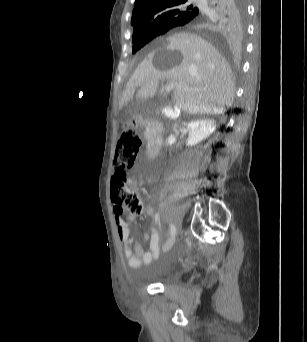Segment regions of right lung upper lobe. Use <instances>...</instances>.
Here are the masks:
<instances>
[{
	"mask_svg": "<svg viewBox=\"0 0 307 342\" xmlns=\"http://www.w3.org/2000/svg\"><path fill=\"white\" fill-rule=\"evenodd\" d=\"M236 0H136L132 12L133 35L150 31H168L189 25L200 33L224 40L230 29Z\"/></svg>",
	"mask_w": 307,
	"mask_h": 342,
	"instance_id": "cb5924a9",
	"label": "right lung upper lobe"
}]
</instances>
